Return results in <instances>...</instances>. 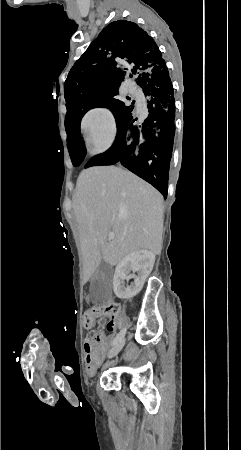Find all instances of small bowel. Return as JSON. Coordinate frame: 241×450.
Returning <instances> with one entry per match:
<instances>
[{
	"mask_svg": "<svg viewBox=\"0 0 241 450\" xmlns=\"http://www.w3.org/2000/svg\"><path fill=\"white\" fill-rule=\"evenodd\" d=\"M94 325L95 323L91 326L85 325V327L92 328ZM120 326L121 321L119 319H110L107 323V330L113 333ZM109 327L113 328V330H109ZM113 339V334L106 335L104 329H100L86 338L84 342V354L87 372L90 375L96 373L101 362V357L110 348Z\"/></svg>",
	"mask_w": 241,
	"mask_h": 450,
	"instance_id": "obj_1",
	"label": "small bowel"
}]
</instances>
